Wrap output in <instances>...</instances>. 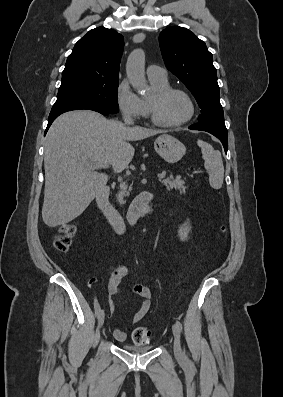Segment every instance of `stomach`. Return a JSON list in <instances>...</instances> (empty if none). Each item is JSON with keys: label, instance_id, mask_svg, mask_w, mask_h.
Wrapping results in <instances>:
<instances>
[{"label": "stomach", "instance_id": "obj_1", "mask_svg": "<svg viewBox=\"0 0 283 397\" xmlns=\"http://www.w3.org/2000/svg\"><path fill=\"white\" fill-rule=\"evenodd\" d=\"M155 151L168 163L178 162L186 153V147L175 137L163 134L154 142Z\"/></svg>", "mask_w": 283, "mask_h": 397}]
</instances>
